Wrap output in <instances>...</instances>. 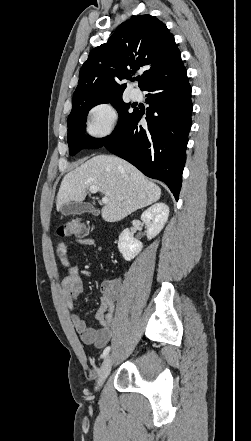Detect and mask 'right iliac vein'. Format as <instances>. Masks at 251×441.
Returning <instances> with one entry per match:
<instances>
[{"instance_id": "right-iliac-vein-1", "label": "right iliac vein", "mask_w": 251, "mask_h": 441, "mask_svg": "<svg viewBox=\"0 0 251 441\" xmlns=\"http://www.w3.org/2000/svg\"><path fill=\"white\" fill-rule=\"evenodd\" d=\"M113 365V358L112 356L108 355L106 356V358L104 359L102 366L98 372V380H97V386L96 388L99 389L105 379L107 378V376L109 375L110 371H111V367Z\"/></svg>"}]
</instances>
